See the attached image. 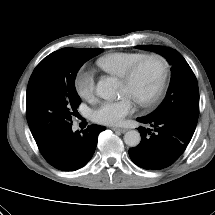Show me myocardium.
<instances>
[{
    "label": "myocardium",
    "instance_id": "f54148a6",
    "mask_svg": "<svg viewBox=\"0 0 215 215\" xmlns=\"http://www.w3.org/2000/svg\"><path fill=\"white\" fill-rule=\"evenodd\" d=\"M148 60L158 61L161 65L162 71H161V77H160L159 83L155 91L152 93V95L146 99L135 100L137 104H139L142 107H151L154 104H156L158 100L161 98L166 88L169 73H170V64L167 58L159 53L145 54L140 59H138L135 63H133L125 72V74L121 77L122 82L126 84L131 83L135 78L136 74L138 73L139 69L141 68V66Z\"/></svg>",
    "mask_w": 215,
    "mask_h": 215
}]
</instances>
